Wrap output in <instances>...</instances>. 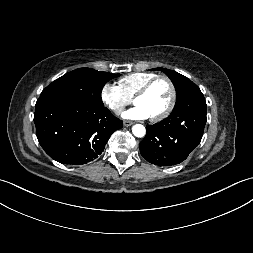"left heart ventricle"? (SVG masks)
I'll return each mask as SVG.
<instances>
[{"mask_svg":"<svg viewBox=\"0 0 253 253\" xmlns=\"http://www.w3.org/2000/svg\"><path fill=\"white\" fill-rule=\"evenodd\" d=\"M170 88L165 80L157 81L142 97L135 100V104L142 106L149 117H154L163 112L170 101Z\"/></svg>","mask_w":253,"mask_h":253,"instance_id":"obj_1","label":"left heart ventricle"}]
</instances>
